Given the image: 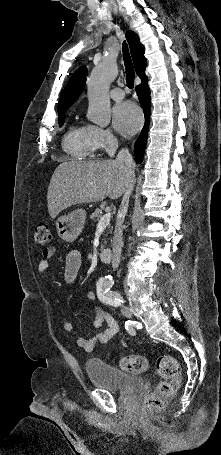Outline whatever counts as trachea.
I'll return each mask as SVG.
<instances>
[{"label":"trachea","instance_id":"3493384b","mask_svg":"<svg viewBox=\"0 0 221 455\" xmlns=\"http://www.w3.org/2000/svg\"><path fill=\"white\" fill-rule=\"evenodd\" d=\"M123 60L125 64V73H126V83L128 88L132 89L134 87V77H135V72H134V67L133 63L129 54L128 50V45L124 41L123 43Z\"/></svg>","mask_w":221,"mask_h":455}]
</instances>
